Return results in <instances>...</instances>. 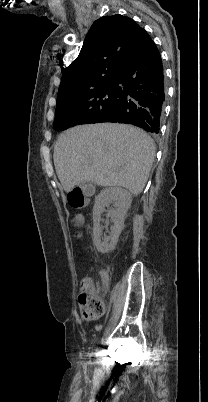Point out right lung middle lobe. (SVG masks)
<instances>
[{
  "label": "right lung middle lobe",
  "mask_w": 208,
  "mask_h": 402,
  "mask_svg": "<svg viewBox=\"0 0 208 402\" xmlns=\"http://www.w3.org/2000/svg\"><path fill=\"white\" fill-rule=\"evenodd\" d=\"M114 80L97 81L57 96L53 128L64 121H86L101 112L110 111L116 104Z\"/></svg>",
  "instance_id": "dd1d6c3e"
}]
</instances>
